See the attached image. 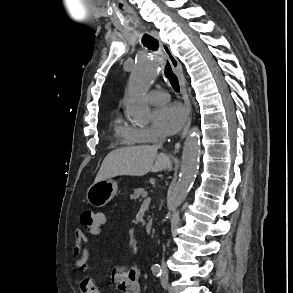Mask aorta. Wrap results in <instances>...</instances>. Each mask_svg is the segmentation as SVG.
<instances>
[{"label":"aorta","mask_w":293,"mask_h":293,"mask_svg":"<svg viewBox=\"0 0 293 293\" xmlns=\"http://www.w3.org/2000/svg\"><path fill=\"white\" fill-rule=\"evenodd\" d=\"M160 72L159 60L152 55H146L138 58L130 75L125 110L127 115L139 125H147L152 119L151 110L145 101V94ZM200 152L199 129L195 126L184 142L181 170L171 192L169 209L176 208L186 199L198 173Z\"/></svg>","instance_id":"1"}]
</instances>
